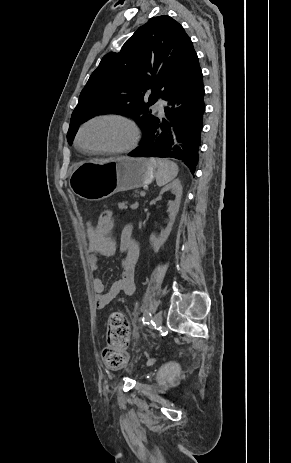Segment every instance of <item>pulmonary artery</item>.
Here are the masks:
<instances>
[{
  "label": "pulmonary artery",
  "mask_w": 291,
  "mask_h": 463,
  "mask_svg": "<svg viewBox=\"0 0 291 463\" xmlns=\"http://www.w3.org/2000/svg\"><path fill=\"white\" fill-rule=\"evenodd\" d=\"M163 105H164V102L162 100H158L154 103L153 105V109L157 112H159L160 114L163 113Z\"/></svg>",
  "instance_id": "obj_1"
}]
</instances>
